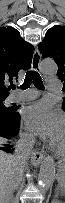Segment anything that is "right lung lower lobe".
<instances>
[{
    "instance_id": "obj_1",
    "label": "right lung lower lobe",
    "mask_w": 65,
    "mask_h": 203,
    "mask_svg": "<svg viewBox=\"0 0 65 203\" xmlns=\"http://www.w3.org/2000/svg\"><path fill=\"white\" fill-rule=\"evenodd\" d=\"M17 111V107H16ZM20 115L15 112L14 115L0 116V137L12 138L19 132ZM0 150L5 152H13V148L9 144H3L0 146Z\"/></svg>"
}]
</instances>
